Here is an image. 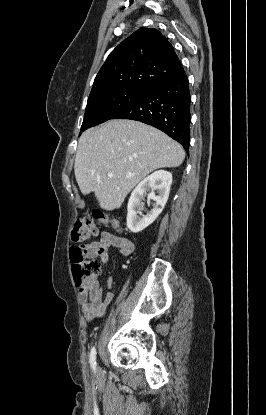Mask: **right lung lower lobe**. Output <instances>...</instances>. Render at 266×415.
Segmentation results:
<instances>
[{"label": "right lung lower lobe", "mask_w": 266, "mask_h": 415, "mask_svg": "<svg viewBox=\"0 0 266 415\" xmlns=\"http://www.w3.org/2000/svg\"><path fill=\"white\" fill-rule=\"evenodd\" d=\"M190 91L185 71L153 86L140 101L111 119H131L149 124L182 144L190 145Z\"/></svg>", "instance_id": "98d812e1"}]
</instances>
